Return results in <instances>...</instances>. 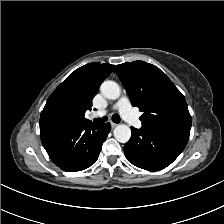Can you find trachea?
I'll return each instance as SVG.
<instances>
[{"label": "trachea", "instance_id": "3493384b", "mask_svg": "<svg viewBox=\"0 0 224 224\" xmlns=\"http://www.w3.org/2000/svg\"><path fill=\"white\" fill-rule=\"evenodd\" d=\"M112 120H113L115 123H119L121 119H120L119 115L114 114V115L112 116ZM106 121H107V117H106V116H104V117H102V118H95V119H94V122H96V123H104V122H106Z\"/></svg>", "mask_w": 224, "mask_h": 224}]
</instances>
